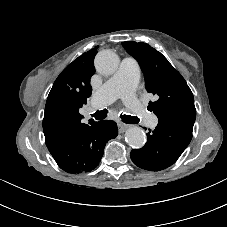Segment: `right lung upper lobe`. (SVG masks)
Masks as SVG:
<instances>
[{
	"label": "right lung upper lobe",
	"instance_id": "obj_1",
	"mask_svg": "<svg viewBox=\"0 0 227 227\" xmlns=\"http://www.w3.org/2000/svg\"><path fill=\"white\" fill-rule=\"evenodd\" d=\"M92 49L70 63L57 77L48 95L43 119L45 143L49 151L74 138L83 129L96 123H83L79 109L91 95L90 78L95 73Z\"/></svg>",
	"mask_w": 227,
	"mask_h": 227
}]
</instances>
